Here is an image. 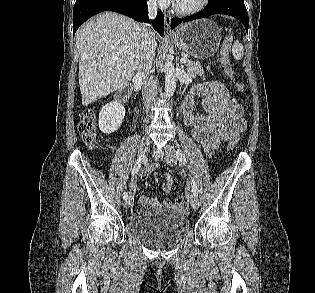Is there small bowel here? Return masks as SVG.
<instances>
[{
	"label": "small bowel",
	"instance_id": "c3829d8e",
	"mask_svg": "<svg viewBox=\"0 0 315 293\" xmlns=\"http://www.w3.org/2000/svg\"><path fill=\"white\" fill-rule=\"evenodd\" d=\"M205 95L203 100L204 115H194V95ZM241 105L230 97L227 88L220 82L209 81L196 86L188 96L184 107V118L191 127L193 138L199 142L207 155H212L221 142L240 138L246 128L242 117ZM157 166L152 163L145 171L148 174ZM171 183L167 178L164 192L170 191ZM142 212H150L157 208H170L172 202L168 199L160 201L157 198L141 196L139 199Z\"/></svg>",
	"mask_w": 315,
	"mask_h": 293
}]
</instances>
